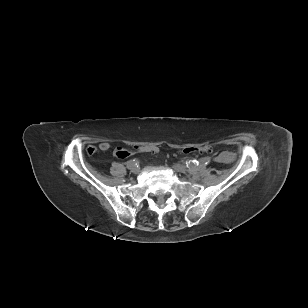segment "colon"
<instances>
[{
  "label": "colon",
  "mask_w": 308,
  "mask_h": 308,
  "mask_svg": "<svg viewBox=\"0 0 308 308\" xmlns=\"http://www.w3.org/2000/svg\"><path fill=\"white\" fill-rule=\"evenodd\" d=\"M95 150L90 148L88 153H93ZM211 148L209 146H199V147H187L183 150L185 154H194V153H207L210 152ZM157 152V147L155 145H146V144H136L134 147L130 148H116L115 155L120 160H125L127 157L139 155L140 153L144 154H155Z\"/></svg>",
  "instance_id": "5ec220e1"
}]
</instances>
